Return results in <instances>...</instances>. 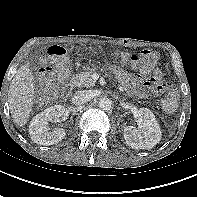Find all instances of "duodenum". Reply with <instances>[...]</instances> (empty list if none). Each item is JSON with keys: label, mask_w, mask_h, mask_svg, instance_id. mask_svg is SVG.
Listing matches in <instances>:
<instances>
[{"label": "duodenum", "mask_w": 197, "mask_h": 197, "mask_svg": "<svg viewBox=\"0 0 197 197\" xmlns=\"http://www.w3.org/2000/svg\"><path fill=\"white\" fill-rule=\"evenodd\" d=\"M72 87H68V91H71Z\"/></svg>", "instance_id": "duodenum-1"}]
</instances>
